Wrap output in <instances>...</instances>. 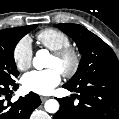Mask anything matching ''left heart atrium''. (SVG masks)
I'll list each match as a JSON object with an SVG mask.
<instances>
[{"label": "left heart atrium", "mask_w": 119, "mask_h": 119, "mask_svg": "<svg viewBox=\"0 0 119 119\" xmlns=\"http://www.w3.org/2000/svg\"><path fill=\"white\" fill-rule=\"evenodd\" d=\"M61 81V72L56 68L31 71L23 76L25 90L37 94H49Z\"/></svg>", "instance_id": "left-heart-atrium-1"}]
</instances>
